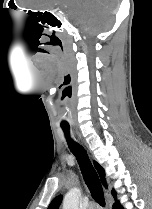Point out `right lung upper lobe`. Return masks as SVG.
<instances>
[{"instance_id": "right-lung-upper-lobe-1", "label": "right lung upper lobe", "mask_w": 152, "mask_h": 209, "mask_svg": "<svg viewBox=\"0 0 152 209\" xmlns=\"http://www.w3.org/2000/svg\"><path fill=\"white\" fill-rule=\"evenodd\" d=\"M94 166H95V168H96V170H97V172L100 176V179H101V182H102L103 186L105 188H107V182H106V179H105L104 169L97 162H94ZM112 192H114V190H112ZM61 201H62V196L61 195L57 196L50 203L48 209H58L59 205L61 204Z\"/></svg>"}]
</instances>
